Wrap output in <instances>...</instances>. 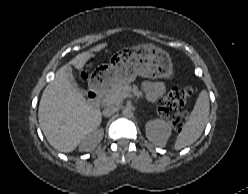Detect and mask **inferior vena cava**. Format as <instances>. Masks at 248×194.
I'll use <instances>...</instances> for the list:
<instances>
[{
    "label": "inferior vena cava",
    "instance_id": "602c4592",
    "mask_svg": "<svg viewBox=\"0 0 248 194\" xmlns=\"http://www.w3.org/2000/svg\"><path fill=\"white\" fill-rule=\"evenodd\" d=\"M116 111H117V108L115 106H108V107L103 109V115L105 117H110L114 113H116Z\"/></svg>",
    "mask_w": 248,
    "mask_h": 194
}]
</instances>
